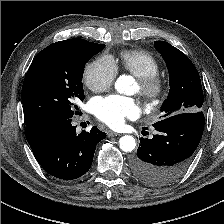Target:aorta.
I'll list each match as a JSON object with an SVG mask.
<instances>
[{
  "mask_svg": "<svg viewBox=\"0 0 224 224\" xmlns=\"http://www.w3.org/2000/svg\"><path fill=\"white\" fill-rule=\"evenodd\" d=\"M132 83L130 76L122 75L117 79L115 88L119 93H127ZM119 147L124 152L133 151L136 147L135 138L130 135L122 136L119 140Z\"/></svg>",
  "mask_w": 224,
  "mask_h": 224,
  "instance_id": "aorta-1",
  "label": "aorta"
}]
</instances>
